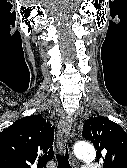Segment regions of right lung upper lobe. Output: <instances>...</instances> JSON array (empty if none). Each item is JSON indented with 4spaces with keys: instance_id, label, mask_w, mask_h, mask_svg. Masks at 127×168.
<instances>
[{
    "instance_id": "right-lung-upper-lobe-1",
    "label": "right lung upper lobe",
    "mask_w": 127,
    "mask_h": 168,
    "mask_svg": "<svg viewBox=\"0 0 127 168\" xmlns=\"http://www.w3.org/2000/svg\"><path fill=\"white\" fill-rule=\"evenodd\" d=\"M53 139L54 127L41 115L17 120L0 133V168H46Z\"/></svg>"
}]
</instances>
